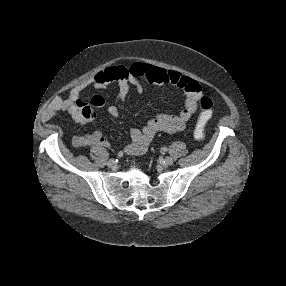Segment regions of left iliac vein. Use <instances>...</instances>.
Instances as JSON below:
<instances>
[{
	"instance_id": "left-iliac-vein-1",
	"label": "left iliac vein",
	"mask_w": 286,
	"mask_h": 286,
	"mask_svg": "<svg viewBox=\"0 0 286 286\" xmlns=\"http://www.w3.org/2000/svg\"><path fill=\"white\" fill-rule=\"evenodd\" d=\"M164 162H165V164H167V165H172V164L174 163V160H173V158H171V157H166V158L164 159Z\"/></svg>"
}]
</instances>
